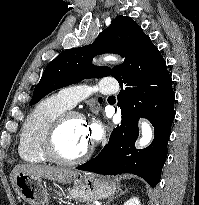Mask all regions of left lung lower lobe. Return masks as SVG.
I'll use <instances>...</instances> for the list:
<instances>
[{
	"mask_svg": "<svg viewBox=\"0 0 199 205\" xmlns=\"http://www.w3.org/2000/svg\"><path fill=\"white\" fill-rule=\"evenodd\" d=\"M121 87L118 106L122 121L113 129L99 155L77 169L103 175L131 173L155 187L167 157V144L175 117L172 79L161 53L141 31L115 78ZM147 118L154 127L153 142L134 147L138 120Z\"/></svg>",
	"mask_w": 199,
	"mask_h": 205,
	"instance_id": "0a47b994",
	"label": "left lung lower lobe"
}]
</instances>
